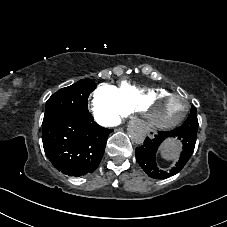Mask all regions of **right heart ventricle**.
Segmentation results:
<instances>
[{"mask_svg": "<svg viewBox=\"0 0 227 227\" xmlns=\"http://www.w3.org/2000/svg\"><path fill=\"white\" fill-rule=\"evenodd\" d=\"M117 90L128 114L140 111L141 106L149 97L168 92L163 87H140L126 81L121 82Z\"/></svg>", "mask_w": 227, "mask_h": 227, "instance_id": "right-heart-ventricle-1", "label": "right heart ventricle"}]
</instances>
